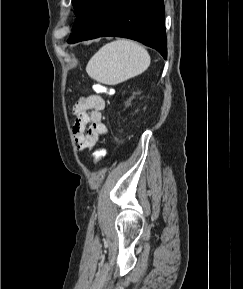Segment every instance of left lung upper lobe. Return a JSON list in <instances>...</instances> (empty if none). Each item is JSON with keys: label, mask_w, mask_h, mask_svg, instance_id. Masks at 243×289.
<instances>
[{"label": "left lung upper lobe", "mask_w": 243, "mask_h": 289, "mask_svg": "<svg viewBox=\"0 0 243 289\" xmlns=\"http://www.w3.org/2000/svg\"><path fill=\"white\" fill-rule=\"evenodd\" d=\"M88 2L89 0H72L73 7L75 9V14L79 15Z\"/></svg>", "instance_id": "5c2ea615"}]
</instances>
